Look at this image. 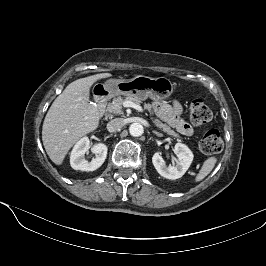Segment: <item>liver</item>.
Returning <instances> with one entry per match:
<instances>
[{
	"label": "liver",
	"instance_id": "6515ba94",
	"mask_svg": "<svg viewBox=\"0 0 266 266\" xmlns=\"http://www.w3.org/2000/svg\"><path fill=\"white\" fill-rule=\"evenodd\" d=\"M108 77L110 73H100L73 81L49 108L43 122L42 141L56 165L63 163L81 137L97 129L100 113L90 103V88L96 81Z\"/></svg>",
	"mask_w": 266,
	"mask_h": 266
}]
</instances>
